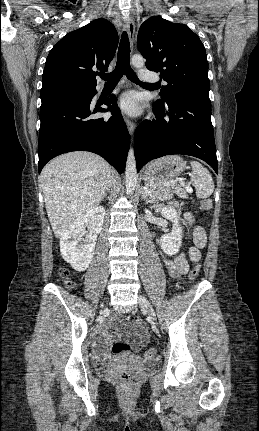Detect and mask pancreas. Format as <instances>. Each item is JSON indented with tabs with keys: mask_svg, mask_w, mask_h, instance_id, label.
I'll return each instance as SVG.
<instances>
[{
	"mask_svg": "<svg viewBox=\"0 0 259 431\" xmlns=\"http://www.w3.org/2000/svg\"><path fill=\"white\" fill-rule=\"evenodd\" d=\"M146 186L152 191V193L149 195L152 200H169L173 197L174 193H176L180 198H188V189L183 188L184 185L181 183H151L146 184Z\"/></svg>",
	"mask_w": 259,
	"mask_h": 431,
	"instance_id": "1",
	"label": "pancreas"
}]
</instances>
